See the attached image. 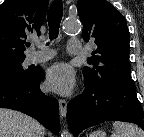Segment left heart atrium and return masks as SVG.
I'll return each mask as SVG.
<instances>
[{
  "instance_id": "1",
  "label": "left heart atrium",
  "mask_w": 144,
  "mask_h": 137,
  "mask_svg": "<svg viewBox=\"0 0 144 137\" xmlns=\"http://www.w3.org/2000/svg\"><path fill=\"white\" fill-rule=\"evenodd\" d=\"M47 86L50 90L62 95H67L73 89L75 74L66 63L53 65L47 72Z\"/></svg>"
}]
</instances>
